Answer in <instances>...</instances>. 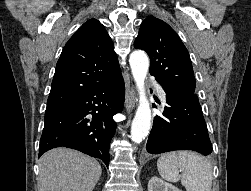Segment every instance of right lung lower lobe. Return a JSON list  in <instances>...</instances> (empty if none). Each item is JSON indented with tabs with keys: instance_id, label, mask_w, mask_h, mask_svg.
Segmentation results:
<instances>
[{
	"instance_id": "obj_1",
	"label": "right lung lower lobe",
	"mask_w": 251,
	"mask_h": 191,
	"mask_svg": "<svg viewBox=\"0 0 251 191\" xmlns=\"http://www.w3.org/2000/svg\"><path fill=\"white\" fill-rule=\"evenodd\" d=\"M124 96L120 73L62 106L47 109L39 156L64 146L100 158L108 167L110 141L116 128L112 117L122 111Z\"/></svg>"
}]
</instances>
